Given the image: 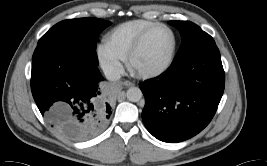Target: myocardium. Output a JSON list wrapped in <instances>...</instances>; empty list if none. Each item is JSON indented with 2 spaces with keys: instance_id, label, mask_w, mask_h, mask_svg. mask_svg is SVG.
I'll return each mask as SVG.
<instances>
[{
  "instance_id": "f54148a6",
  "label": "myocardium",
  "mask_w": 267,
  "mask_h": 166,
  "mask_svg": "<svg viewBox=\"0 0 267 166\" xmlns=\"http://www.w3.org/2000/svg\"><path fill=\"white\" fill-rule=\"evenodd\" d=\"M159 28H165V29L169 30L171 35H172L173 45H172V50H171V53H170L168 60L166 61V63L164 65H162L161 67L154 69V70H148V71L137 70L134 66V63H133L135 56L138 54V52L142 48L147 37L153 31H155ZM176 50H177V37H176L174 30L167 24L157 23L154 26L150 27L148 30H146L137 39V41L134 43V45L131 47V49H130L127 57H126L127 66L130 69V71H132L133 73H135L136 75H138L142 78H153V77L159 76L160 74L164 73L166 70L169 69V67L171 66V64L173 63V60L175 58Z\"/></svg>"
}]
</instances>
